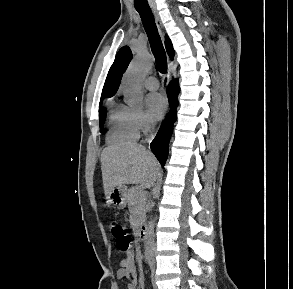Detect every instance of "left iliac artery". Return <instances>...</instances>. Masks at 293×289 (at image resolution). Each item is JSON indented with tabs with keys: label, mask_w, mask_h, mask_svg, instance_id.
Segmentation results:
<instances>
[{
	"label": "left iliac artery",
	"mask_w": 293,
	"mask_h": 289,
	"mask_svg": "<svg viewBox=\"0 0 293 289\" xmlns=\"http://www.w3.org/2000/svg\"><path fill=\"white\" fill-rule=\"evenodd\" d=\"M149 265H150V267H152V265H153V260H149Z\"/></svg>",
	"instance_id": "obj_1"
}]
</instances>
